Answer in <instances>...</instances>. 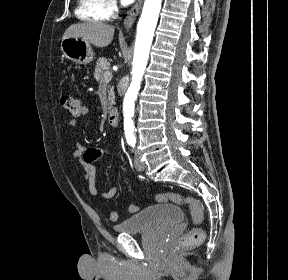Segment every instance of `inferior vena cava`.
<instances>
[{"label": "inferior vena cava", "instance_id": "1", "mask_svg": "<svg viewBox=\"0 0 288 280\" xmlns=\"http://www.w3.org/2000/svg\"><path fill=\"white\" fill-rule=\"evenodd\" d=\"M129 79L128 78H121L118 85V90H120L121 94L125 93V90H127Z\"/></svg>", "mask_w": 288, "mask_h": 280}]
</instances>
